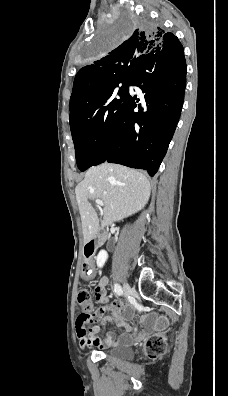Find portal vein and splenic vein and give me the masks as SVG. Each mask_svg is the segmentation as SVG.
<instances>
[{
    "mask_svg": "<svg viewBox=\"0 0 228 396\" xmlns=\"http://www.w3.org/2000/svg\"><path fill=\"white\" fill-rule=\"evenodd\" d=\"M97 206H103V201L102 200H96Z\"/></svg>",
    "mask_w": 228,
    "mask_h": 396,
    "instance_id": "portal-vein-and-splenic-vein-1",
    "label": "portal vein and splenic vein"
}]
</instances>
